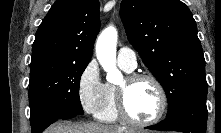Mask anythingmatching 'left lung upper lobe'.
Listing matches in <instances>:
<instances>
[{"label": "left lung upper lobe", "mask_w": 221, "mask_h": 133, "mask_svg": "<svg viewBox=\"0 0 221 133\" xmlns=\"http://www.w3.org/2000/svg\"><path fill=\"white\" fill-rule=\"evenodd\" d=\"M120 16L129 42L163 86L167 116L207 96L205 59L197 26L179 0H123Z\"/></svg>", "instance_id": "5c2ea615"}]
</instances>
